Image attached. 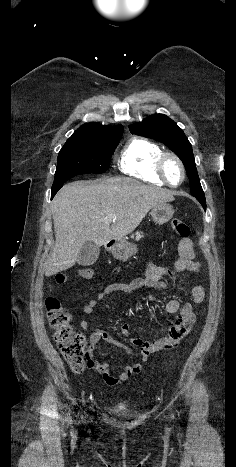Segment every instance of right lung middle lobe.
Masks as SVG:
<instances>
[{"label": "right lung middle lobe", "instance_id": "1", "mask_svg": "<svg viewBox=\"0 0 236 467\" xmlns=\"http://www.w3.org/2000/svg\"><path fill=\"white\" fill-rule=\"evenodd\" d=\"M121 137L122 133L73 134L59 152L53 186L79 174L106 172Z\"/></svg>", "mask_w": 236, "mask_h": 467}]
</instances>
